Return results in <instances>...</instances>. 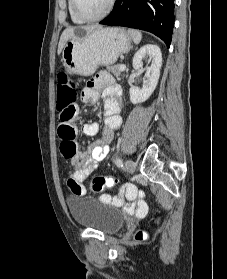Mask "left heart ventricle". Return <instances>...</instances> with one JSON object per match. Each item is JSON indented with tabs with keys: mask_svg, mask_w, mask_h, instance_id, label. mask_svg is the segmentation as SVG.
I'll return each instance as SVG.
<instances>
[{
	"mask_svg": "<svg viewBox=\"0 0 227 279\" xmlns=\"http://www.w3.org/2000/svg\"><path fill=\"white\" fill-rule=\"evenodd\" d=\"M109 0H77L80 13L86 17H95L107 7Z\"/></svg>",
	"mask_w": 227,
	"mask_h": 279,
	"instance_id": "b2bd125f",
	"label": "left heart ventricle"
}]
</instances>
